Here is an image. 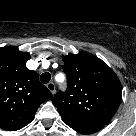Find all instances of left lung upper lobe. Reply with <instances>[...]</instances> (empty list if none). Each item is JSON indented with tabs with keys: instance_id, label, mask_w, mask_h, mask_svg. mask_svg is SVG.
<instances>
[{
	"instance_id": "obj_1",
	"label": "left lung upper lobe",
	"mask_w": 136,
	"mask_h": 136,
	"mask_svg": "<svg viewBox=\"0 0 136 136\" xmlns=\"http://www.w3.org/2000/svg\"><path fill=\"white\" fill-rule=\"evenodd\" d=\"M66 92L52 99L63 121L75 131L101 129L116 113L122 97L117 75L101 59L81 51L62 56Z\"/></svg>"
}]
</instances>
